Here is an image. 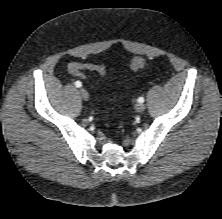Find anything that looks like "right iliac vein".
Returning <instances> with one entry per match:
<instances>
[{
	"label": "right iliac vein",
	"mask_w": 222,
	"mask_h": 219,
	"mask_svg": "<svg viewBox=\"0 0 222 219\" xmlns=\"http://www.w3.org/2000/svg\"><path fill=\"white\" fill-rule=\"evenodd\" d=\"M80 95L83 98V100H85V101H87L89 99V93L84 88L80 89Z\"/></svg>",
	"instance_id": "obj_1"
}]
</instances>
